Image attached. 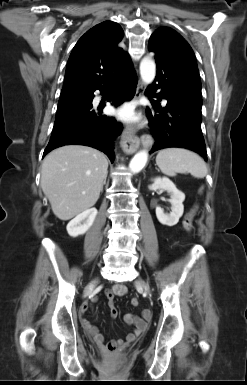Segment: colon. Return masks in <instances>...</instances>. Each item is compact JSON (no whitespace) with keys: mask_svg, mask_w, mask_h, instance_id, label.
Returning <instances> with one entry per match:
<instances>
[{"mask_svg":"<svg viewBox=\"0 0 247 385\" xmlns=\"http://www.w3.org/2000/svg\"><path fill=\"white\" fill-rule=\"evenodd\" d=\"M196 212H197V207L195 206V207H193L192 209H190V210L187 212V214L185 215V217H184V220H183V227H184L187 231H190L191 228H192V223H193V219H194V217H195V215H196ZM131 303H132L133 306H138L139 301H138L136 298H134V299H132ZM107 349H108L109 351H113V350L115 349V346L109 344L108 347H107Z\"/></svg>","mask_w":247,"mask_h":385,"instance_id":"5ec220e1","label":"colon"}]
</instances>
